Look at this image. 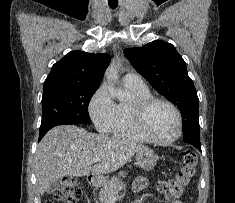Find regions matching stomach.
Returning <instances> with one entry per match:
<instances>
[{"instance_id":"stomach-1","label":"stomach","mask_w":235,"mask_h":203,"mask_svg":"<svg viewBox=\"0 0 235 203\" xmlns=\"http://www.w3.org/2000/svg\"><path fill=\"white\" fill-rule=\"evenodd\" d=\"M158 160L157 154L151 149H144L136 153V164L144 170H152ZM91 182L95 186H104L108 178L104 176H93Z\"/></svg>"}]
</instances>
